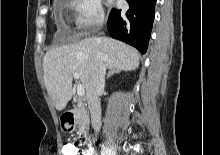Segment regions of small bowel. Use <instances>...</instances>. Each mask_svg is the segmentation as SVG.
<instances>
[{"label":"small bowel","mask_w":220,"mask_h":155,"mask_svg":"<svg viewBox=\"0 0 220 155\" xmlns=\"http://www.w3.org/2000/svg\"><path fill=\"white\" fill-rule=\"evenodd\" d=\"M77 145H86V140H77Z\"/></svg>","instance_id":"obj_1"}]
</instances>
